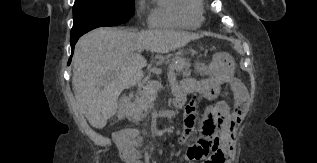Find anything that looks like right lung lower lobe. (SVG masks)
Returning <instances> with one entry per match:
<instances>
[{"instance_id":"1","label":"right lung lower lobe","mask_w":317,"mask_h":163,"mask_svg":"<svg viewBox=\"0 0 317 163\" xmlns=\"http://www.w3.org/2000/svg\"><path fill=\"white\" fill-rule=\"evenodd\" d=\"M79 37H80V36L75 37V38H72V39L70 40V42H71V48H72V53H73V51H74V46H75L77 40L79 39ZM71 57H72V56H71ZM71 57H70V59H69V64H70V62H71Z\"/></svg>"}]
</instances>
